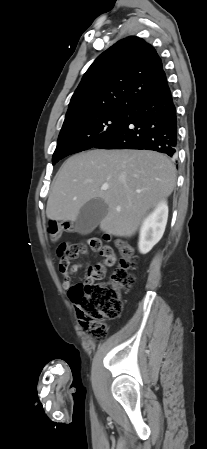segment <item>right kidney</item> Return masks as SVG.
I'll return each instance as SVG.
<instances>
[{
    "instance_id": "right-kidney-1",
    "label": "right kidney",
    "mask_w": 207,
    "mask_h": 449,
    "mask_svg": "<svg viewBox=\"0 0 207 449\" xmlns=\"http://www.w3.org/2000/svg\"><path fill=\"white\" fill-rule=\"evenodd\" d=\"M168 219V206L166 201L160 202L154 211L143 221L139 236V251L148 253L162 238Z\"/></svg>"
}]
</instances>
